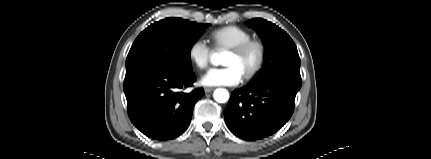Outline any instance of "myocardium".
<instances>
[{"label":"myocardium","instance_id":"myocardium-1","mask_svg":"<svg viewBox=\"0 0 431 159\" xmlns=\"http://www.w3.org/2000/svg\"><path fill=\"white\" fill-rule=\"evenodd\" d=\"M251 51H255L257 57L254 66L243 74V77L246 80L254 78L263 68L266 58V48L264 43L257 39H250L229 49V52L239 57H242Z\"/></svg>","mask_w":431,"mask_h":159}]
</instances>
